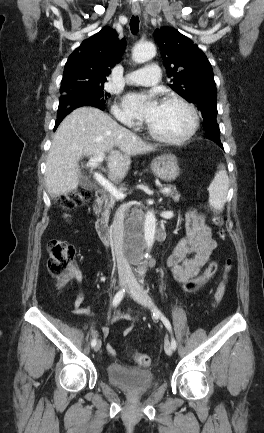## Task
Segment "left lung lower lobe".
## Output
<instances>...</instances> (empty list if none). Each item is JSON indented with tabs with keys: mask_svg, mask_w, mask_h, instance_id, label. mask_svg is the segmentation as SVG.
I'll return each instance as SVG.
<instances>
[{
	"mask_svg": "<svg viewBox=\"0 0 264 433\" xmlns=\"http://www.w3.org/2000/svg\"><path fill=\"white\" fill-rule=\"evenodd\" d=\"M203 122H204L203 127H205V126L215 125V124L217 123L216 119H214V118L204 119ZM215 142H216V143H217L221 148H223V145H222L221 141H215Z\"/></svg>",
	"mask_w": 264,
	"mask_h": 433,
	"instance_id": "left-lung-lower-lobe-1",
	"label": "left lung lower lobe"
}]
</instances>
